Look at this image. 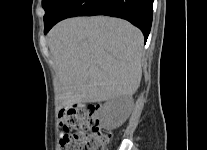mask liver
Listing matches in <instances>:
<instances>
[{"instance_id": "1", "label": "liver", "mask_w": 207, "mask_h": 150, "mask_svg": "<svg viewBox=\"0 0 207 150\" xmlns=\"http://www.w3.org/2000/svg\"><path fill=\"white\" fill-rule=\"evenodd\" d=\"M143 35L129 22L106 16L66 19L48 45L61 107L132 96L142 77Z\"/></svg>"}]
</instances>
